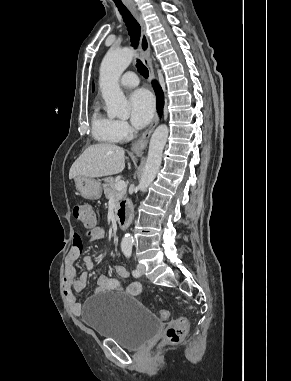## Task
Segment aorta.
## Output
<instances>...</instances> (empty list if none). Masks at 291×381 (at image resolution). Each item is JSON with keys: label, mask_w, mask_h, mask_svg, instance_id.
I'll return each mask as SVG.
<instances>
[{"label": "aorta", "mask_w": 291, "mask_h": 381, "mask_svg": "<svg viewBox=\"0 0 291 381\" xmlns=\"http://www.w3.org/2000/svg\"><path fill=\"white\" fill-rule=\"evenodd\" d=\"M134 56L133 50H109L100 66L99 86L106 104L109 117L127 118L129 115L126 97L119 86V78L130 65ZM169 129L167 125L158 126L153 132L145 168L139 183V189L145 192L156 177L162 161V153L167 142ZM133 236L125 234L121 242L122 249H132Z\"/></svg>", "instance_id": "obj_1"}]
</instances>
